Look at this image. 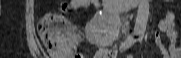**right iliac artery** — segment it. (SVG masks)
<instances>
[{"label":"right iliac artery","instance_id":"1","mask_svg":"<svg viewBox=\"0 0 181 58\" xmlns=\"http://www.w3.org/2000/svg\"><path fill=\"white\" fill-rule=\"evenodd\" d=\"M136 34H132L120 45V51L123 52L129 49L136 42Z\"/></svg>","mask_w":181,"mask_h":58}]
</instances>
